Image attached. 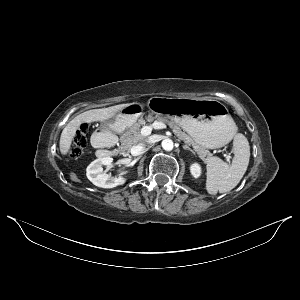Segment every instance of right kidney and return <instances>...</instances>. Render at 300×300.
<instances>
[{"instance_id":"obj_1","label":"right kidney","mask_w":300,"mask_h":300,"mask_svg":"<svg viewBox=\"0 0 300 300\" xmlns=\"http://www.w3.org/2000/svg\"><path fill=\"white\" fill-rule=\"evenodd\" d=\"M113 162L110 156L99 157L91 162L86 170L87 178L96 186L102 188H113L126 182V178L120 174L118 177H112L103 172V166H109Z\"/></svg>"}]
</instances>
